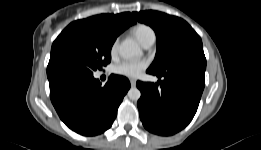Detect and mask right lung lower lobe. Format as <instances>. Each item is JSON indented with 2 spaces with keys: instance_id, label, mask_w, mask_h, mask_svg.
Wrapping results in <instances>:
<instances>
[{
  "instance_id": "right-lung-lower-lobe-1",
  "label": "right lung lower lobe",
  "mask_w": 261,
  "mask_h": 150,
  "mask_svg": "<svg viewBox=\"0 0 261 150\" xmlns=\"http://www.w3.org/2000/svg\"><path fill=\"white\" fill-rule=\"evenodd\" d=\"M50 98L61 120L73 131L95 136L109 129L123 97L127 78L112 75L105 86L93 75H63L49 79Z\"/></svg>"
}]
</instances>
